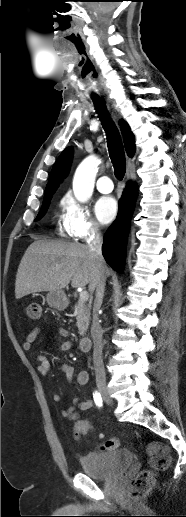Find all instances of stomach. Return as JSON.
I'll list each match as a JSON object with an SVG mask.
<instances>
[{
  "label": "stomach",
  "instance_id": "obj_1",
  "mask_svg": "<svg viewBox=\"0 0 186 517\" xmlns=\"http://www.w3.org/2000/svg\"><path fill=\"white\" fill-rule=\"evenodd\" d=\"M46 301L50 307L58 310H64L68 305V300L63 290L49 291Z\"/></svg>",
  "mask_w": 186,
  "mask_h": 517
}]
</instances>
